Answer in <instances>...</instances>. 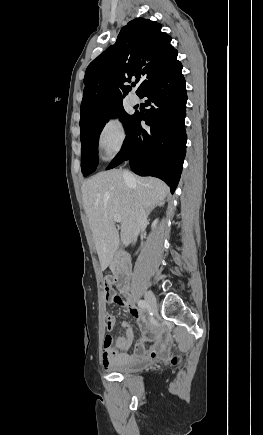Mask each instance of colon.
<instances>
[{
	"mask_svg": "<svg viewBox=\"0 0 263 435\" xmlns=\"http://www.w3.org/2000/svg\"><path fill=\"white\" fill-rule=\"evenodd\" d=\"M105 297L108 301L116 303L120 301V297L112 290L111 279L105 280ZM103 350H114L115 343L110 336H106L102 343ZM175 361V359L173 360Z\"/></svg>",
	"mask_w": 263,
	"mask_h": 435,
	"instance_id": "colon-1",
	"label": "colon"
}]
</instances>
